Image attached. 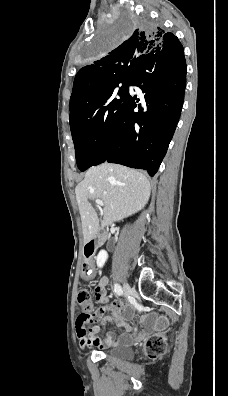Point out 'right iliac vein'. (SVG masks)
Returning a JSON list of instances; mask_svg holds the SVG:
<instances>
[{"label": "right iliac vein", "mask_w": 228, "mask_h": 396, "mask_svg": "<svg viewBox=\"0 0 228 396\" xmlns=\"http://www.w3.org/2000/svg\"><path fill=\"white\" fill-rule=\"evenodd\" d=\"M123 293H124V296H125V297L130 296V294H131V287L129 286L128 283H124V284H123Z\"/></svg>", "instance_id": "right-iliac-vein-1"}]
</instances>
